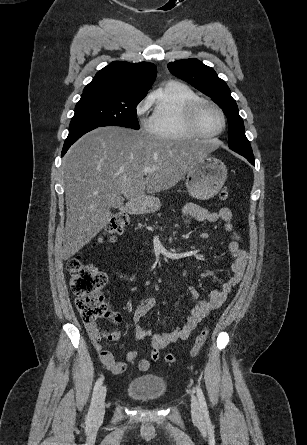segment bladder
Wrapping results in <instances>:
<instances>
[{
	"label": "bladder",
	"instance_id": "31cf9c89",
	"mask_svg": "<svg viewBox=\"0 0 307 445\" xmlns=\"http://www.w3.org/2000/svg\"><path fill=\"white\" fill-rule=\"evenodd\" d=\"M167 383L164 378L154 374H144L130 380L128 395L138 401L154 402L166 394Z\"/></svg>",
	"mask_w": 307,
	"mask_h": 445
}]
</instances>
